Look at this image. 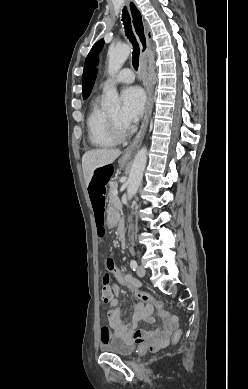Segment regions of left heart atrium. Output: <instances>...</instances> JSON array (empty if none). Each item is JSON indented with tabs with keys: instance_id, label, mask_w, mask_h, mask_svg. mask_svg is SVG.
Segmentation results:
<instances>
[{
	"instance_id": "39dd6f15",
	"label": "left heart atrium",
	"mask_w": 248,
	"mask_h": 389,
	"mask_svg": "<svg viewBox=\"0 0 248 389\" xmlns=\"http://www.w3.org/2000/svg\"><path fill=\"white\" fill-rule=\"evenodd\" d=\"M121 101L119 123L124 128H128L142 116L145 106V95L139 87H127L121 93Z\"/></svg>"
}]
</instances>
